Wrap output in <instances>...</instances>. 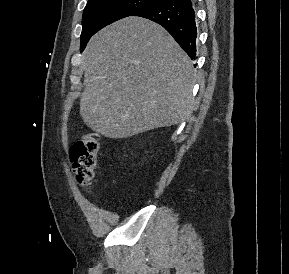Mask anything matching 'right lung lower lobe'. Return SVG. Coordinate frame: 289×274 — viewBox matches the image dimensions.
I'll list each match as a JSON object with an SVG mask.
<instances>
[{
  "mask_svg": "<svg viewBox=\"0 0 289 274\" xmlns=\"http://www.w3.org/2000/svg\"><path fill=\"white\" fill-rule=\"evenodd\" d=\"M132 16L144 17L163 26L190 58H195L197 29L191 0H161Z\"/></svg>",
  "mask_w": 289,
  "mask_h": 274,
  "instance_id": "1",
  "label": "right lung lower lobe"
}]
</instances>
